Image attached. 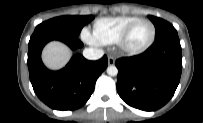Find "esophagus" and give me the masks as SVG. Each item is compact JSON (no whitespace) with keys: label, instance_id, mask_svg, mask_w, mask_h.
I'll list each match as a JSON object with an SVG mask.
<instances>
[{"label":"esophagus","instance_id":"1","mask_svg":"<svg viewBox=\"0 0 203 123\" xmlns=\"http://www.w3.org/2000/svg\"><path fill=\"white\" fill-rule=\"evenodd\" d=\"M114 63H115L114 57L108 56V64H109V65H114Z\"/></svg>","mask_w":203,"mask_h":123}]
</instances>
